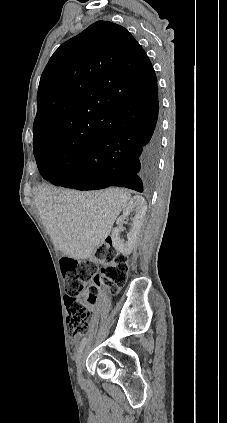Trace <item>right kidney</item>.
<instances>
[{
	"label": "right kidney",
	"mask_w": 227,
	"mask_h": 423,
	"mask_svg": "<svg viewBox=\"0 0 227 423\" xmlns=\"http://www.w3.org/2000/svg\"><path fill=\"white\" fill-rule=\"evenodd\" d=\"M146 210V200H144L142 196H134V198L130 200L129 204H127L126 208H124L123 215L118 217L116 221L117 227H113L112 229L111 241L113 247H115L117 251H120V253H123V255H129V253H132L137 235L143 225ZM131 211H135V215L132 219V227L129 233H127L128 241H123V239H120V229L123 225V219H126V217L130 215Z\"/></svg>",
	"instance_id": "obj_1"
}]
</instances>
